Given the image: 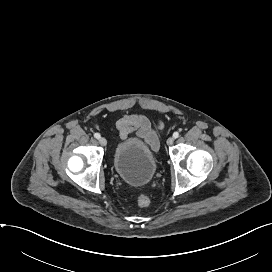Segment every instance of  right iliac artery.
<instances>
[{"label": "right iliac artery", "mask_w": 272, "mask_h": 272, "mask_svg": "<svg viewBox=\"0 0 272 272\" xmlns=\"http://www.w3.org/2000/svg\"><path fill=\"white\" fill-rule=\"evenodd\" d=\"M94 137H95L96 139H99V138H100V134H99V133H95V134H94Z\"/></svg>", "instance_id": "right-iliac-artery-1"}]
</instances>
